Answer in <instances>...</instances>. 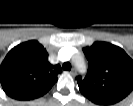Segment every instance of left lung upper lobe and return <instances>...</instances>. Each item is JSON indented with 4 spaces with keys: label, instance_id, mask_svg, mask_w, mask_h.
<instances>
[{
    "label": "left lung upper lobe",
    "instance_id": "5c2ea615",
    "mask_svg": "<svg viewBox=\"0 0 133 106\" xmlns=\"http://www.w3.org/2000/svg\"><path fill=\"white\" fill-rule=\"evenodd\" d=\"M89 62L85 78L77 77L81 93L95 104H115L133 89V60L118 46L95 42L83 49Z\"/></svg>",
    "mask_w": 133,
    "mask_h": 106
}]
</instances>
